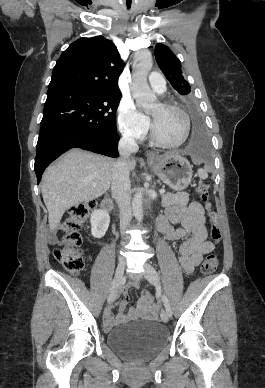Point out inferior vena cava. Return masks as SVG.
I'll use <instances>...</instances> for the list:
<instances>
[{
    "label": "inferior vena cava",
    "instance_id": "obj_1",
    "mask_svg": "<svg viewBox=\"0 0 265 388\" xmlns=\"http://www.w3.org/2000/svg\"><path fill=\"white\" fill-rule=\"evenodd\" d=\"M138 150L139 146H137L134 138L124 134L118 144L120 158L112 168L111 190L112 196L120 208V230L122 234L132 220L128 158L131 154H136Z\"/></svg>",
    "mask_w": 265,
    "mask_h": 388
}]
</instances>
